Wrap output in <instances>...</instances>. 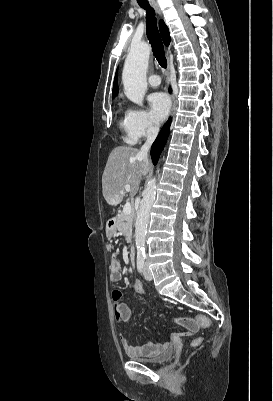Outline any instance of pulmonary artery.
Segmentation results:
<instances>
[{
  "mask_svg": "<svg viewBox=\"0 0 273 401\" xmlns=\"http://www.w3.org/2000/svg\"><path fill=\"white\" fill-rule=\"evenodd\" d=\"M149 80H150V87L152 89H157L159 87L160 77L158 74H151Z\"/></svg>",
  "mask_w": 273,
  "mask_h": 401,
  "instance_id": "e3ab8cb5",
  "label": "pulmonary artery"
}]
</instances>
